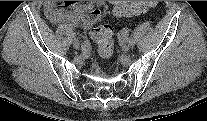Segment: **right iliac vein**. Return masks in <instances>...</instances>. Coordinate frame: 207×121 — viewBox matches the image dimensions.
<instances>
[{
  "instance_id": "63e3f726",
  "label": "right iliac vein",
  "mask_w": 207,
  "mask_h": 121,
  "mask_svg": "<svg viewBox=\"0 0 207 121\" xmlns=\"http://www.w3.org/2000/svg\"><path fill=\"white\" fill-rule=\"evenodd\" d=\"M73 47L76 48V49H78V48L80 47V43H79V41L74 40V41H73Z\"/></svg>"
}]
</instances>
